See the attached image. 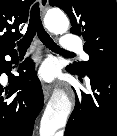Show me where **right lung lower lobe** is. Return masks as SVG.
<instances>
[{"label": "right lung lower lobe", "mask_w": 117, "mask_h": 136, "mask_svg": "<svg viewBox=\"0 0 117 136\" xmlns=\"http://www.w3.org/2000/svg\"><path fill=\"white\" fill-rule=\"evenodd\" d=\"M6 55L16 56L13 51ZM0 56V75L11 71L12 62ZM29 58L20 64L19 76L10 75L8 86L0 83V136H31L44 103L41 83Z\"/></svg>", "instance_id": "obj_1"}]
</instances>
